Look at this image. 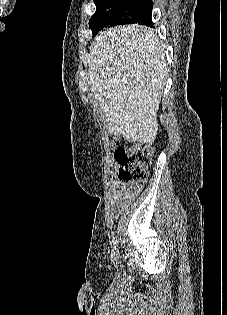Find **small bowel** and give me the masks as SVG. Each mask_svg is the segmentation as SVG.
I'll return each mask as SVG.
<instances>
[{
  "label": "small bowel",
  "mask_w": 227,
  "mask_h": 315,
  "mask_svg": "<svg viewBox=\"0 0 227 315\" xmlns=\"http://www.w3.org/2000/svg\"><path fill=\"white\" fill-rule=\"evenodd\" d=\"M139 190L132 188L129 185L119 182L112 183L110 193L114 203L119 207L128 206L136 197Z\"/></svg>",
  "instance_id": "small-bowel-1"
}]
</instances>
